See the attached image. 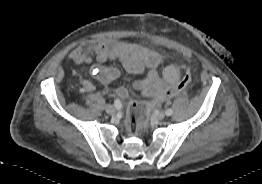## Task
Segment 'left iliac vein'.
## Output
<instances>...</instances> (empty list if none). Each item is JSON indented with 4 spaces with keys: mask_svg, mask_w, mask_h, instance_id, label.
Listing matches in <instances>:
<instances>
[{
    "mask_svg": "<svg viewBox=\"0 0 262 184\" xmlns=\"http://www.w3.org/2000/svg\"><path fill=\"white\" fill-rule=\"evenodd\" d=\"M154 117H155L156 120L161 121L165 118V113L161 111V112L155 114Z\"/></svg>",
    "mask_w": 262,
    "mask_h": 184,
    "instance_id": "4c4485c4",
    "label": "left iliac vein"
}]
</instances>
